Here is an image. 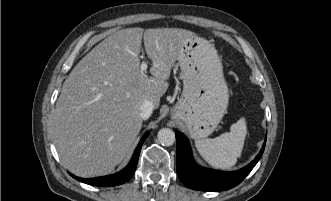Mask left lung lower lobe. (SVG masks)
Instances as JSON below:
<instances>
[{"mask_svg":"<svg viewBox=\"0 0 331 201\" xmlns=\"http://www.w3.org/2000/svg\"><path fill=\"white\" fill-rule=\"evenodd\" d=\"M177 141V174L181 182L188 188L200 191H222L238 185L251 172L261 158L265 142L256 158L246 167L235 172H221L202 168L195 164L187 138L176 132Z\"/></svg>","mask_w":331,"mask_h":201,"instance_id":"obj_1","label":"left lung lower lobe"}]
</instances>
